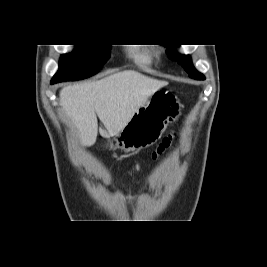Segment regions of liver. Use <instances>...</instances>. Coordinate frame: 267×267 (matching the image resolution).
<instances>
[{
    "instance_id": "6515ba94",
    "label": "liver",
    "mask_w": 267,
    "mask_h": 267,
    "mask_svg": "<svg viewBox=\"0 0 267 267\" xmlns=\"http://www.w3.org/2000/svg\"><path fill=\"white\" fill-rule=\"evenodd\" d=\"M167 84L125 70L97 81L63 87L60 103L77 128L81 144L91 146L98 134L97 116L105 126V130L100 129L101 136H116L149 97Z\"/></svg>"
}]
</instances>
